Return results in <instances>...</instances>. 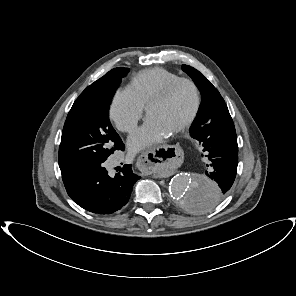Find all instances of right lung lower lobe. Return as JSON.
<instances>
[{"instance_id": "98d812e1", "label": "right lung lower lobe", "mask_w": 296, "mask_h": 296, "mask_svg": "<svg viewBox=\"0 0 296 296\" xmlns=\"http://www.w3.org/2000/svg\"><path fill=\"white\" fill-rule=\"evenodd\" d=\"M105 161L62 175L71 199L96 214H112L121 210L129 200L134 183L140 179L133 173L131 165H125L121 173L110 177L104 167Z\"/></svg>"}]
</instances>
